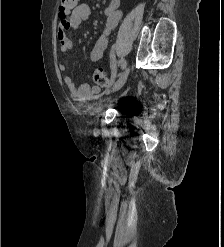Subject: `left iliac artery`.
<instances>
[{
  "instance_id": "obj_1",
  "label": "left iliac artery",
  "mask_w": 224,
  "mask_h": 247,
  "mask_svg": "<svg viewBox=\"0 0 224 247\" xmlns=\"http://www.w3.org/2000/svg\"><path fill=\"white\" fill-rule=\"evenodd\" d=\"M120 64H121V68L124 70L126 68L127 62L124 58H122Z\"/></svg>"
}]
</instances>
